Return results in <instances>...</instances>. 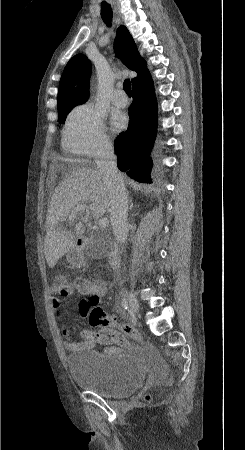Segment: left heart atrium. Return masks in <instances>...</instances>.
<instances>
[{
	"label": "left heart atrium",
	"instance_id": "left-heart-atrium-1",
	"mask_svg": "<svg viewBox=\"0 0 245 450\" xmlns=\"http://www.w3.org/2000/svg\"><path fill=\"white\" fill-rule=\"evenodd\" d=\"M126 123H127V118L125 115H123L121 113L116 114L114 116L113 129L115 131H118V130L122 129L126 125Z\"/></svg>",
	"mask_w": 245,
	"mask_h": 450
}]
</instances>
